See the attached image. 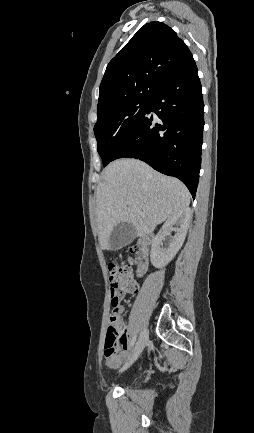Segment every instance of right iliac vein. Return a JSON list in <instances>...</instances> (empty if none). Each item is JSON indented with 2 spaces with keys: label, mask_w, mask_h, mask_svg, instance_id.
<instances>
[{
  "label": "right iliac vein",
  "mask_w": 254,
  "mask_h": 433,
  "mask_svg": "<svg viewBox=\"0 0 254 433\" xmlns=\"http://www.w3.org/2000/svg\"><path fill=\"white\" fill-rule=\"evenodd\" d=\"M147 343H148V331L145 329L141 332L136 347L133 351L132 357L126 363L124 369L128 368L138 358V356L141 354V352L143 351Z\"/></svg>",
  "instance_id": "obj_1"
}]
</instances>
